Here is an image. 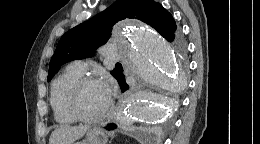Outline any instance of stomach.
I'll list each match as a JSON object with an SVG mask.
<instances>
[{"mask_svg":"<svg viewBox=\"0 0 260 144\" xmlns=\"http://www.w3.org/2000/svg\"><path fill=\"white\" fill-rule=\"evenodd\" d=\"M108 138L105 131L99 127L89 129L86 133L85 140L74 144H107Z\"/></svg>","mask_w":260,"mask_h":144,"instance_id":"obj_1","label":"stomach"}]
</instances>
